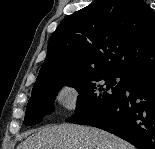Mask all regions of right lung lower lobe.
Returning <instances> with one entry per match:
<instances>
[{
	"instance_id": "98d812e1",
	"label": "right lung lower lobe",
	"mask_w": 155,
	"mask_h": 149,
	"mask_svg": "<svg viewBox=\"0 0 155 149\" xmlns=\"http://www.w3.org/2000/svg\"><path fill=\"white\" fill-rule=\"evenodd\" d=\"M77 124L113 133L138 149H155V68L128 73L120 96L97 117Z\"/></svg>"
}]
</instances>
